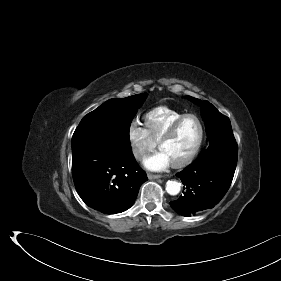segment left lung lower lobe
Returning a JSON list of instances; mask_svg holds the SVG:
<instances>
[{
  "label": "left lung lower lobe",
  "instance_id": "0a47b994",
  "mask_svg": "<svg viewBox=\"0 0 281 281\" xmlns=\"http://www.w3.org/2000/svg\"><path fill=\"white\" fill-rule=\"evenodd\" d=\"M237 158V150L203 151L191 165L176 174L184 191L170 202L171 207L187 217L213 208L231 185Z\"/></svg>",
  "mask_w": 281,
  "mask_h": 281
}]
</instances>
